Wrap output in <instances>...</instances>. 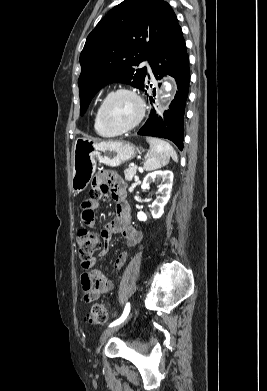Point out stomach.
I'll return each instance as SVG.
<instances>
[{
  "label": "stomach",
  "mask_w": 267,
  "mask_h": 391,
  "mask_svg": "<svg viewBox=\"0 0 267 391\" xmlns=\"http://www.w3.org/2000/svg\"><path fill=\"white\" fill-rule=\"evenodd\" d=\"M138 153L140 149L129 142H97L89 138H78L72 150V192L79 194L87 188L96 171L97 161L117 167L132 160Z\"/></svg>",
  "instance_id": "0dacf381"
}]
</instances>
